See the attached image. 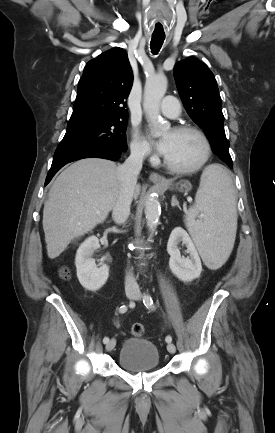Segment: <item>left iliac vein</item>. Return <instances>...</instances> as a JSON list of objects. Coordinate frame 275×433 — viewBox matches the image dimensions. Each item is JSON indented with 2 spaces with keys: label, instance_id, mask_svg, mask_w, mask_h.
<instances>
[{
  "label": "left iliac vein",
  "instance_id": "1",
  "mask_svg": "<svg viewBox=\"0 0 275 433\" xmlns=\"http://www.w3.org/2000/svg\"><path fill=\"white\" fill-rule=\"evenodd\" d=\"M134 300H140L141 299V294L140 293H136L133 297ZM167 350L169 353L174 354L176 352V347L173 343H169L167 345Z\"/></svg>",
  "mask_w": 275,
  "mask_h": 433
}]
</instances>
